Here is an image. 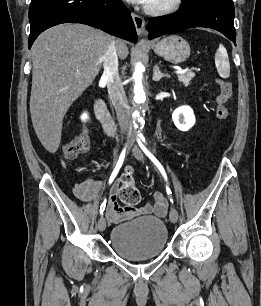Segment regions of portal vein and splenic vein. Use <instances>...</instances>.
Here are the masks:
<instances>
[{
	"label": "portal vein and splenic vein",
	"instance_id": "18ae733b",
	"mask_svg": "<svg viewBox=\"0 0 261 306\" xmlns=\"http://www.w3.org/2000/svg\"><path fill=\"white\" fill-rule=\"evenodd\" d=\"M185 72H187V69H179V70L175 71L176 74H183Z\"/></svg>",
	"mask_w": 261,
	"mask_h": 306
}]
</instances>
